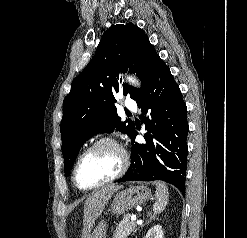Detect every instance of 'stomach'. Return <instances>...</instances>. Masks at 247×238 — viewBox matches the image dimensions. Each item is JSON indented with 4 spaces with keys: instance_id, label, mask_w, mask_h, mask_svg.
Returning a JSON list of instances; mask_svg holds the SVG:
<instances>
[{
    "instance_id": "obj_1",
    "label": "stomach",
    "mask_w": 247,
    "mask_h": 238,
    "mask_svg": "<svg viewBox=\"0 0 247 238\" xmlns=\"http://www.w3.org/2000/svg\"><path fill=\"white\" fill-rule=\"evenodd\" d=\"M151 197V190L145 185H134L114 196L111 204L113 214L121 215L137 205L145 203ZM106 226L103 221L94 229L90 238H106Z\"/></svg>"
}]
</instances>
